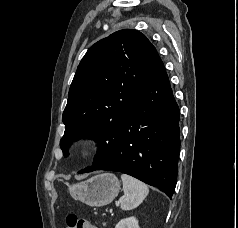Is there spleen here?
Segmentation results:
<instances>
[{"instance_id":"obj_1","label":"spleen","mask_w":238,"mask_h":228,"mask_svg":"<svg viewBox=\"0 0 238 228\" xmlns=\"http://www.w3.org/2000/svg\"><path fill=\"white\" fill-rule=\"evenodd\" d=\"M121 180L123 182L124 197L120 207L124 211L133 210L147 197L149 193L148 186L127 174H122Z\"/></svg>"}]
</instances>
